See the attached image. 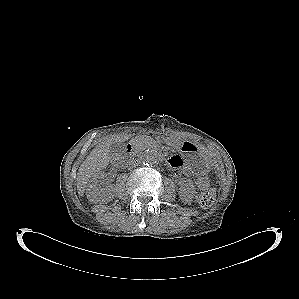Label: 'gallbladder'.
Wrapping results in <instances>:
<instances>
[{"instance_id": "gallbladder-1", "label": "gallbladder", "mask_w": 299, "mask_h": 299, "mask_svg": "<svg viewBox=\"0 0 299 299\" xmlns=\"http://www.w3.org/2000/svg\"><path fill=\"white\" fill-rule=\"evenodd\" d=\"M125 151V145L124 143H115L112 144L111 148H110V152L111 154H122Z\"/></svg>"}]
</instances>
